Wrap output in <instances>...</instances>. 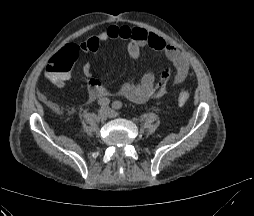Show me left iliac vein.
<instances>
[{
	"instance_id": "1",
	"label": "left iliac vein",
	"mask_w": 254,
	"mask_h": 216,
	"mask_svg": "<svg viewBox=\"0 0 254 216\" xmlns=\"http://www.w3.org/2000/svg\"><path fill=\"white\" fill-rule=\"evenodd\" d=\"M109 116H110V117H116V116H117V113L114 112V111H111V112L109 113Z\"/></svg>"
}]
</instances>
